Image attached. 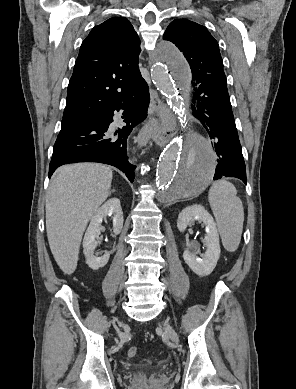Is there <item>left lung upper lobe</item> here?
Returning a JSON list of instances; mask_svg holds the SVG:
<instances>
[{"label":"left lung upper lobe","mask_w":296,"mask_h":389,"mask_svg":"<svg viewBox=\"0 0 296 389\" xmlns=\"http://www.w3.org/2000/svg\"><path fill=\"white\" fill-rule=\"evenodd\" d=\"M163 39L173 42L183 53L193 81L225 76L219 45L204 26L187 19H176L169 24Z\"/></svg>","instance_id":"obj_1"}]
</instances>
